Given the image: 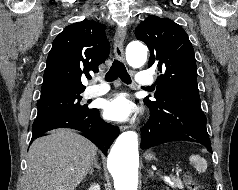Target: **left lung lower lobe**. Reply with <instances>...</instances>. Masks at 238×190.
<instances>
[{
	"label": "left lung lower lobe",
	"mask_w": 238,
	"mask_h": 190,
	"mask_svg": "<svg viewBox=\"0 0 238 190\" xmlns=\"http://www.w3.org/2000/svg\"><path fill=\"white\" fill-rule=\"evenodd\" d=\"M147 106L150 118L141 128L142 149L183 140L203 144L212 152L201 101L174 99L159 106Z\"/></svg>",
	"instance_id": "0a47b994"
}]
</instances>
